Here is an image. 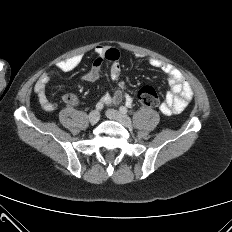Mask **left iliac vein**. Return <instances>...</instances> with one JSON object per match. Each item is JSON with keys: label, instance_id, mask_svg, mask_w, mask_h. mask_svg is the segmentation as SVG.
<instances>
[{"label": "left iliac vein", "instance_id": "4c4485c4", "mask_svg": "<svg viewBox=\"0 0 232 232\" xmlns=\"http://www.w3.org/2000/svg\"><path fill=\"white\" fill-rule=\"evenodd\" d=\"M106 115L108 118L120 122L125 127H130L132 124L131 119L126 114L119 111L109 109L107 110Z\"/></svg>", "mask_w": 232, "mask_h": 232}]
</instances>
